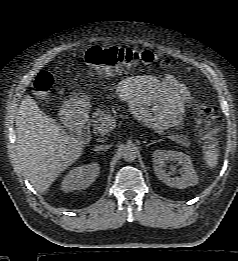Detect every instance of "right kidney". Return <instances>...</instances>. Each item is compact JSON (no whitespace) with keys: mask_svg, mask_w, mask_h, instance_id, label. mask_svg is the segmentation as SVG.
Segmentation results:
<instances>
[{"mask_svg":"<svg viewBox=\"0 0 238 261\" xmlns=\"http://www.w3.org/2000/svg\"><path fill=\"white\" fill-rule=\"evenodd\" d=\"M99 173L100 167L97 163L76 167L64 177L61 185L62 190L70 192L85 189L95 181Z\"/></svg>","mask_w":238,"mask_h":261,"instance_id":"obj_1","label":"right kidney"}]
</instances>
